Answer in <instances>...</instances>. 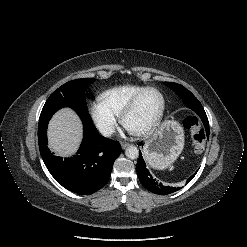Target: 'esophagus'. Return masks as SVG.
Instances as JSON below:
<instances>
[{
	"mask_svg": "<svg viewBox=\"0 0 247 247\" xmlns=\"http://www.w3.org/2000/svg\"><path fill=\"white\" fill-rule=\"evenodd\" d=\"M121 146L123 149H126L129 146V143L123 142Z\"/></svg>",
	"mask_w": 247,
	"mask_h": 247,
	"instance_id": "esophagus-1",
	"label": "esophagus"
}]
</instances>
